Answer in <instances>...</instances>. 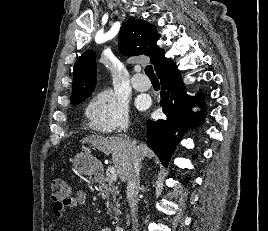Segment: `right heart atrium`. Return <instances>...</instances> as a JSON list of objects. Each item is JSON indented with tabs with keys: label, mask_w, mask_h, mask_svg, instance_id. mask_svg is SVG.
I'll list each match as a JSON object with an SVG mask.
<instances>
[{
	"label": "right heart atrium",
	"mask_w": 268,
	"mask_h": 231,
	"mask_svg": "<svg viewBox=\"0 0 268 231\" xmlns=\"http://www.w3.org/2000/svg\"><path fill=\"white\" fill-rule=\"evenodd\" d=\"M90 127L102 134L122 132L127 128V102L111 89L96 92L86 107Z\"/></svg>",
	"instance_id": "1"
}]
</instances>
